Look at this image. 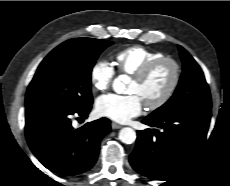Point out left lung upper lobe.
<instances>
[{
	"mask_svg": "<svg viewBox=\"0 0 230 186\" xmlns=\"http://www.w3.org/2000/svg\"><path fill=\"white\" fill-rule=\"evenodd\" d=\"M183 62V73L174 95L150 117L161 118L178 112L190 110H210L211 97L204 74L192 58L181 46H178Z\"/></svg>",
	"mask_w": 230,
	"mask_h": 186,
	"instance_id": "left-lung-upper-lobe-1",
	"label": "left lung upper lobe"
}]
</instances>
